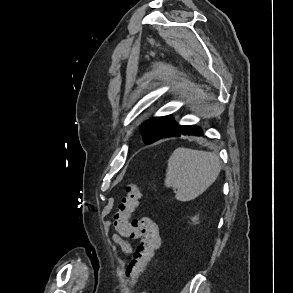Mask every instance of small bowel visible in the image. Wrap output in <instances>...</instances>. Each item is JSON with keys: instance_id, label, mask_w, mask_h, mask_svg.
<instances>
[{"instance_id": "obj_1", "label": "small bowel", "mask_w": 293, "mask_h": 293, "mask_svg": "<svg viewBox=\"0 0 293 293\" xmlns=\"http://www.w3.org/2000/svg\"><path fill=\"white\" fill-rule=\"evenodd\" d=\"M112 240L121 248V250L126 254H131L133 252L132 245L125 240L120 234H112Z\"/></svg>"}]
</instances>
